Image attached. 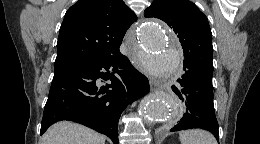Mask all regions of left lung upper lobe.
Here are the masks:
<instances>
[{
  "label": "left lung upper lobe",
  "mask_w": 260,
  "mask_h": 144,
  "mask_svg": "<svg viewBox=\"0 0 260 144\" xmlns=\"http://www.w3.org/2000/svg\"><path fill=\"white\" fill-rule=\"evenodd\" d=\"M145 17L163 20L176 33L184 52V62L213 71L212 33L207 17L188 0H154Z\"/></svg>",
  "instance_id": "left-lung-upper-lobe-1"
}]
</instances>
